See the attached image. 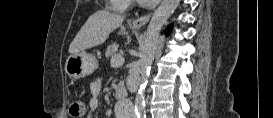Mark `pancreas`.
<instances>
[{"mask_svg": "<svg viewBox=\"0 0 273 118\" xmlns=\"http://www.w3.org/2000/svg\"><path fill=\"white\" fill-rule=\"evenodd\" d=\"M118 48H119V45L117 43H112L111 45L107 47L105 56L107 58H112L114 55H116Z\"/></svg>", "mask_w": 273, "mask_h": 118, "instance_id": "1", "label": "pancreas"}]
</instances>
